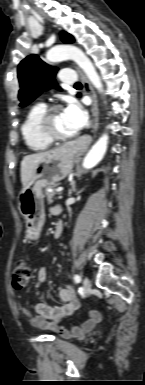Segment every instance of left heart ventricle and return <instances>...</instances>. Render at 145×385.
Listing matches in <instances>:
<instances>
[{"label":"left heart ventricle","mask_w":145,"mask_h":385,"mask_svg":"<svg viewBox=\"0 0 145 385\" xmlns=\"http://www.w3.org/2000/svg\"><path fill=\"white\" fill-rule=\"evenodd\" d=\"M51 124L53 131L61 136L72 135L75 132L66 121L62 110L54 114Z\"/></svg>","instance_id":"left-heart-ventricle-1"}]
</instances>
